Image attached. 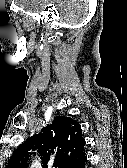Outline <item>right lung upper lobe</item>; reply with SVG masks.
I'll use <instances>...</instances> for the list:
<instances>
[{
	"instance_id": "1",
	"label": "right lung upper lobe",
	"mask_w": 127,
	"mask_h": 168,
	"mask_svg": "<svg viewBox=\"0 0 127 168\" xmlns=\"http://www.w3.org/2000/svg\"><path fill=\"white\" fill-rule=\"evenodd\" d=\"M85 140L79 123L57 116L52 124L31 136L12 154L7 168H27L30 150H37L43 168H75L85 158Z\"/></svg>"
}]
</instances>
